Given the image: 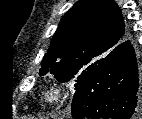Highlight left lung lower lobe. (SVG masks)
Wrapping results in <instances>:
<instances>
[{
  "mask_svg": "<svg viewBox=\"0 0 142 119\" xmlns=\"http://www.w3.org/2000/svg\"><path fill=\"white\" fill-rule=\"evenodd\" d=\"M74 119H139L142 105L134 48L129 40L117 45L76 89Z\"/></svg>",
  "mask_w": 142,
  "mask_h": 119,
  "instance_id": "obj_1",
  "label": "left lung lower lobe"
}]
</instances>
